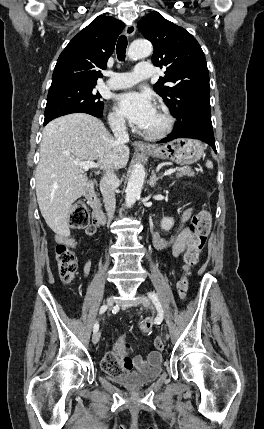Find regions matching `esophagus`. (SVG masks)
Listing matches in <instances>:
<instances>
[{
    "mask_svg": "<svg viewBox=\"0 0 264 429\" xmlns=\"http://www.w3.org/2000/svg\"><path fill=\"white\" fill-rule=\"evenodd\" d=\"M135 31H136V27L133 23H130L126 26L125 32L127 37L131 38L135 34ZM133 145L138 149H151L150 145L142 141H135Z\"/></svg>",
    "mask_w": 264,
    "mask_h": 429,
    "instance_id": "1",
    "label": "esophagus"
}]
</instances>
